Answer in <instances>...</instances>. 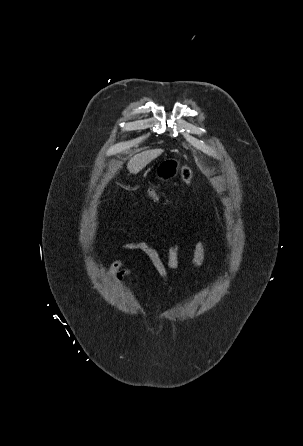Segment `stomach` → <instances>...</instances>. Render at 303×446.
<instances>
[{
    "mask_svg": "<svg viewBox=\"0 0 303 446\" xmlns=\"http://www.w3.org/2000/svg\"><path fill=\"white\" fill-rule=\"evenodd\" d=\"M179 168L180 162L177 159H166L157 166L155 176L161 181H168L177 176Z\"/></svg>",
    "mask_w": 303,
    "mask_h": 446,
    "instance_id": "1",
    "label": "stomach"
}]
</instances>
